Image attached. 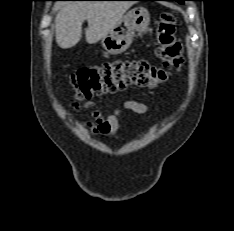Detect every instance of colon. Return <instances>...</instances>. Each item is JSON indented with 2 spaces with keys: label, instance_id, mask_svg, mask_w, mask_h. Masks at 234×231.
<instances>
[{
  "label": "colon",
  "instance_id": "1",
  "mask_svg": "<svg viewBox=\"0 0 234 231\" xmlns=\"http://www.w3.org/2000/svg\"><path fill=\"white\" fill-rule=\"evenodd\" d=\"M154 43L164 59L162 66L142 60H120L72 73L70 83L76 89L79 100L112 94L129 86L153 88L168 79L171 72L180 70L184 59L176 38L174 13L165 12L160 16Z\"/></svg>",
  "mask_w": 234,
  "mask_h": 231
}]
</instances>
